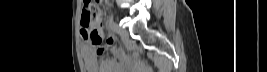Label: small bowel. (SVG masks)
I'll list each match as a JSON object with an SVG mask.
<instances>
[{"instance_id":"c3829d8e","label":"small bowel","mask_w":267,"mask_h":72,"mask_svg":"<svg viewBox=\"0 0 267 72\" xmlns=\"http://www.w3.org/2000/svg\"><path fill=\"white\" fill-rule=\"evenodd\" d=\"M114 42L113 37H109L107 39V46L103 48V50L110 47ZM98 52V51H97ZM117 54V53H116ZM118 55V54H117ZM83 57L84 62L88 72H115V68L113 67L112 60H105L98 64L96 51L90 44H85L83 47Z\"/></svg>"}]
</instances>
